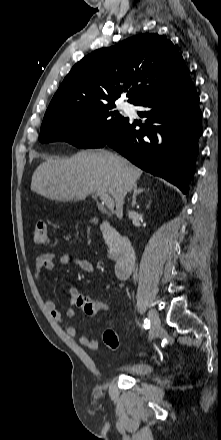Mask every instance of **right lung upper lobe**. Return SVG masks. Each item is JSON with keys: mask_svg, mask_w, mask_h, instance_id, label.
Wrapping results in <instances>:
<instances>
[{"mask_svg": "<svg viewBox=\"0 0 221 440\" xmlns=\"http://www.w3.org/2000/svg\"><path fill=\"white\" fill-rule=\"evenodd\" d=\"M188 69L173 43L158 34H140L98 49L76 63L47 111L75 104L114 103L132 84L128 102L139 101L183 84Z\"/></svg>", "mask_w": 221, "mask_h": 440, "instance_id": "right-lung-upper-lobe-1", "label": "right lung upper lobe"}]
</instances>
